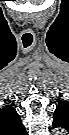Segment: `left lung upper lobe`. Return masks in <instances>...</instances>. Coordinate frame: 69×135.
Masks as SVG:
<instances>
[{"mask_svg": "<svg viewBox=\"0 0 69 135\" xmlns=\"http://www.w3.org/2000/svg\"><path fill=\"white\" fill-rule=\"evenodd\" d=\"M67 105L66 102H60L57 106L55 112H54V118L58 117L59 114H61L62 109Z\"/></svg>", "mask_w": 69, "mask_h": 135, "instance_id": "left-lung-upper-lobe-1", "label": "left lung upper lobe"}]
</instances>
